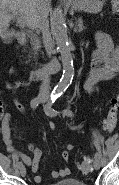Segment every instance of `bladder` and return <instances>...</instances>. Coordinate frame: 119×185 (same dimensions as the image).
<instances>
[{
    "label": "bladder",
    "mask_w": 119,
    "mask_h": 185,
    "mask_svg": "<svg viewBox=\"0 0 119 185\" xmlns=\"http://www.w3.org/2000/svg\"><path fill=\"white\" fill-rule=\"evenodd\" d=\"M51 185H87V184L78 179L68 178V179H63L61 181H58Z\"/></svg>",
    "instance_id": "bladder-1"
}]
</instances>
